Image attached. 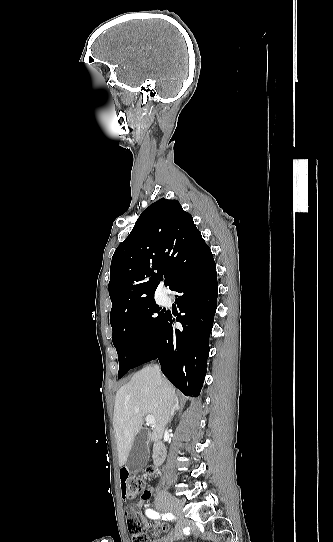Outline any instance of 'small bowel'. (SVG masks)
I'll return each mask as SVG.
<instances>
[{
	"label": "small bowel",
	"instance_id": "small-bowel-1",
	"mask_svg": "<svg viewBox=\"0 0 333 542\" xmlns=\"http://www.w3.org/2000/svg\"><path fill=\"white\" fill-rule=\"evenodd\" d=\"M120 479L123 483V479H128V474H127V471L123 468L121 469L120 471ZM123 489V487H122ZM154 495V489L153 488H147L145 489L144 493H143V497L138 501L137 505L135 506V511H130V509L128 510V515L129 514H135L137 515L143 525L147 528H151L155 533H158L160 531H163V532H166L168 531L170 528H169V525L167 523H159L158 525H155V526H151L150 525V522H149V518L147 516V514H144L142 513L139 508L140 507H146L147 505V502L153 497ZM185 535V529L181 526V525H176L169 533V535H167L165 538L161 539L159 542H176L178 541L180 538H182V536Z\"/></svg>",
	"mask_w": 333,
	"mask_h": 542
}]
</instances>
